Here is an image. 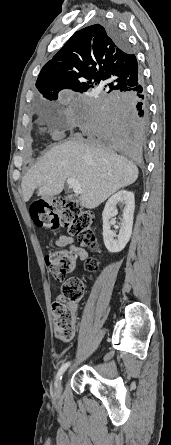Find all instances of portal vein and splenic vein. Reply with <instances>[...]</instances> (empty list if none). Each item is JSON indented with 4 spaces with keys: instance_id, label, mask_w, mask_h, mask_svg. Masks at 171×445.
Instances as JSON below:
<instances>
[{
    "instance_id": "18ae733b",
    "label": "portal vein and splenic vein",
    "mask_w": 171,
    "mask_h": 445,
    "mask_svg": "<svg viewBox=\"0 0 171 445\" xmlns=\"http://www.w3.org/2000/svg\"><path fill=\"white\" fill-rule=\"evenodd\" d=\"M67 184L69 185L70 188L73 189V192L75 194H81L82 193V189H81V186H80L79 182L77 180H75L74 178H68L67 179Z\"/></svg>"
}]
</instances>
